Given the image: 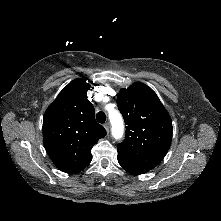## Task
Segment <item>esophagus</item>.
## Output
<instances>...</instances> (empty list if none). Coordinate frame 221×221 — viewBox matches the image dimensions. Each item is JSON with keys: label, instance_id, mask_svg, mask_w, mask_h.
<instances>
[{"label": "esophagus", "instance_id": "1", "mask_svg": "<svg viewBox=\"0 0 221 221\" xmlns=\"http://www.w3.org/2000/svg\"><path fill=\"white\" fill-rule=\"evenodd\" d=\"M104 128H105V130H106L107 132H109V129H110V124H109V122H106V123L104 124Z\"/></svg>", "mask_w": 221, "mask_h": 221}]
</instances>
